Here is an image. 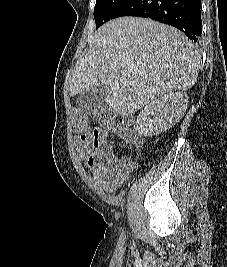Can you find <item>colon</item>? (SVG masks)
Listing matches in <instances>:
<instances>
[{
    "instance_id": "1",
    "label": "colon",
    "mask_w": 227,
    "mask_h": 267,
    "mask_svg": "<svg viewBox=\"0 0 227 267\" xmlns=\"http://www.w3.org/2000/svg\"><path fill=\"white\" fill-rule=\"evenodd\" d=\"M72 117L74 120V126L79 132L89 133L90 132V122L89 117L86 113L79 109H74L72 111ZM96 120L100 127L104 129H111L115 126V116L113 112L109 109H102L96 113ZM119 131L122 137L127 140L139 144V138L131 125L127 124L125 121L119 126Z\"/></svg>"
}]
</instances>
